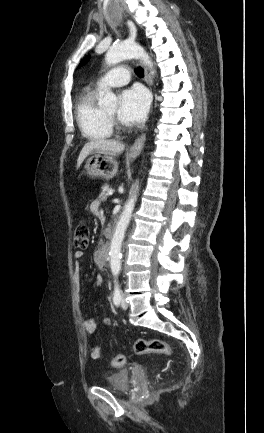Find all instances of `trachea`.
I'll list each match as a JSON object with an SVG mask.
<instances>
[{
	"label": "trachea",
	"mask_w": 264,
	"mask_h": 433,
	"mask_svg": "<svg viewBox=\"0 0 264 433\" xmlns=\"http://www.w3.org/2000/svg\"><path fill=\"white\" fill-rule=\"evenodd\" d=\"M135 73L137 74V76L143 77V70L140 67L136 68Z\"/></svg>",
	"instance_id": "trachea-1"
}]
</instances>
